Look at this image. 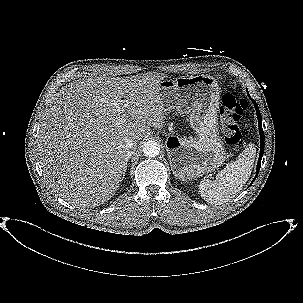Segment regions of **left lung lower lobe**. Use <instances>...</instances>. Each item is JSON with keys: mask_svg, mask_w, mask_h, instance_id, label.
Returning <instances> with one entry per match:
<instances>
[{"mask_svg": "<svg viewBox=\"0 0 303 303\" xmlns=\"http://www.w3.org/2000/svg\"><path fill=\"white\" fill-rule=\"evenodd\" d=\"M250 99H251V97H250ZM251 100H252V102L255 106L256 112H257L259 132H260V141H261L260 155H259V160H258V164H257V174H258V172L260 170L261 159H262V156H263V153H264V132H263V129H262V122H261L262 119H261V114H260L258 105L256 104V102L253 99H251ZM253 181H252V183H253Z\"/></svg>", "mask_w": 303, "mask_h": 303, "instance_id": "0a47b994", "label": "left lung lower lobe"}]
</instances>
